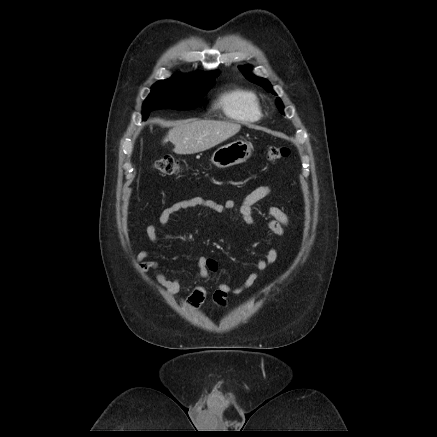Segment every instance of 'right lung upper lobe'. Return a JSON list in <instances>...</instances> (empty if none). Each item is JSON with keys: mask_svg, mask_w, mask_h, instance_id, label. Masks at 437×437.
Masks as SVG:
<instances>
[{"mask_svg": "<svg viewBox=\"0 0 437 437\" xmlns=\"http://www.w3.org/2000/svg\"><path fill=\"white\" fill-rule=\"evenodd\" d=\"M219 75L218 71L212 73H193L191 75H176L173 76L172 80H178L188 84H205L207 82L213 81Z\"/></svg>", "mask_w": 437, "mask_h": 437, "instance_id": "1", "label": "right lung upper lobe"}]
</instances>
